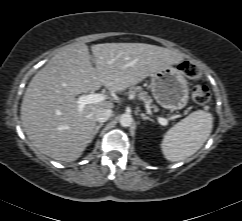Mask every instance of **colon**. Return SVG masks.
Masks as SVG:
<instances>
[{"instance_id":"colon-1","label":"colon","mask_w":242,"mask_h":221,"mask_svg":"<svg viewBox=\"0 0 242 221\" xmlns=\"http://www.w3.org/2000/svg\"><path fill=\"white\" fill-rule=\"evenodd\" d=\"M181 71L185 76L191 79L200 77V70L198 66L190 61H186L181 65ZM193 100L199 105H206L211 99V93L207 86H196L192 92Z\"/></svg>"}]
</instances>
